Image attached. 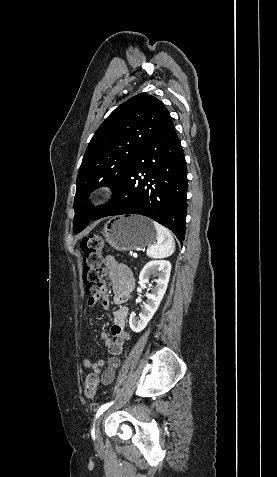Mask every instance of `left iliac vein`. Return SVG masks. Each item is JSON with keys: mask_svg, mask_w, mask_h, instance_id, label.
I'll use <instances>...</instances> for the list:
<instances>
[{"mask_svg": "<svg viewBox=\"0 0 277 477\" xmlns=\"http://www.w3.org/2000/svg\"><path fill=\"white\" fill-rule=\"evenodd\" d=\"M101 420H102V416L99 417L96 422H95V428H94V432H95V440L97 443H100L102 438H101V433H100V423H101Z\"/></svg>", "mask_w": 277, "mask_h": 477, "instance_id": "1", "label": "left iliac vein"}]
</instances>
